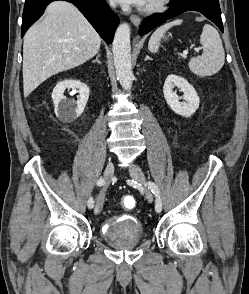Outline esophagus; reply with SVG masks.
Wrapping results in <instances>:
<instances>
[{
    "label": "esophagus",
    "mask_w": 249,
    "mask_h": 294,
    "mask_svg": "<svg viewBox=\"0 0 249 294\" xmlns=\"http://www.w3.org/2000/svg\"><path fill=\"white\" fill-rule=\"evenodd\" d=\"M130 20L135 26H138L141 23V18L137 15H131Z\"/></svg>",
    "instance_id": "1"
}]
</instances>
